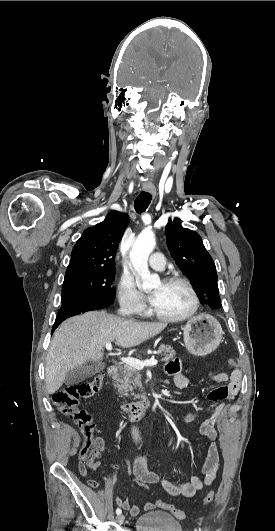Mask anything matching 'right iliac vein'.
Returning <instances> with one entry per match:
<instances>
[{
    "label": "right iliac vein",
    "mask_w": 275,
    "mask_h": 531,
    "mask_svg": "<svg viewBox=\"0 0 275 531\" xmlns=\"http://www.w3.org/2000/svg\"><path fill=\"white\" fill-rule=\"evenodd\" d=\"M116 520L119 524H122L124 522V516L123 515H118L116 517Z\"/></svg>",
    "instance_id": "63e3f726"
}]
</instances>
